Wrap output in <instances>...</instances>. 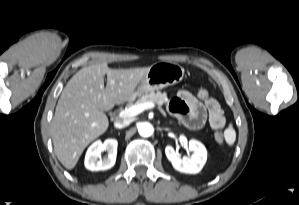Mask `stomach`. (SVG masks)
<instances>
[{
    "mask_svg": "<svg viewBox=\"0 0 299 205\" xmlns=\"http://www.w3.org/2000/svg\"><path fill=\"white\" fill-rule=\"evenodd\" d=\"M184 72V68L176 63H154L141 79L134 96H140L141 94H147L174 85L183 79Z\"/></svg>",
    "mask_w": 299,
    "mask_h": 205,
    "instance_id": "obj_1",
    "label": "stomach"
}]
</instances>
